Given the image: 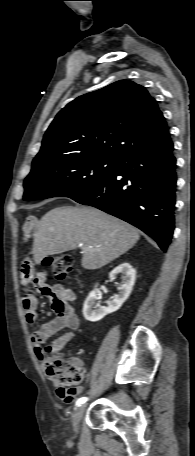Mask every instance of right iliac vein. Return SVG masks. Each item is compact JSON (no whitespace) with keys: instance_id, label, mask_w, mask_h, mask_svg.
I'll use <instances>...</instances> for the list:
<instances>
[{"instance_id":"63e3f726","label":"right iliac vein","mask_w":195,"mask_h":456,"mask_svg":"<svg viewBox=\"0 0 195 456\" xmlns=\"http://www.w3.org/2000/svg\"><path fill=\"white\" fill-rule=\"evenodd\" d=\"M84 411L85 405H80L75 409L74 414L72 416L73 429L76 433L78 432L79 422L84 414Z\"/></svg>"}]
</instances>
